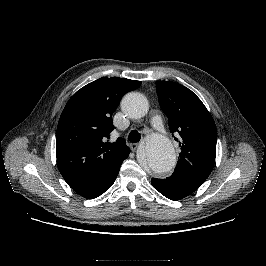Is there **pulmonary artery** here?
I'll return each mask as SVG.
<instances>
[{"instance_id": "obj_1", "label": "pulmonary artery", "mask_w": 266, "mask_h": 266, "mask_svg": "<svg viewBox=\"0 0 266 266\" xmlns=\"http://www.w3.org/2000/svg\"><path fill=\"white\" fill-rule=\"evenodd\" d=\"M151 123H152V126L154 129H156L159 132L164 133L163 124H162L161 118L159 116L153 117L151 120Z\"/></svg>"}]
</instances>
